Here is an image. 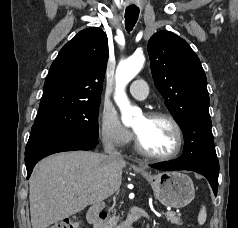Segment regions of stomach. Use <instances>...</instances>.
Here are the masks:
<instances>
[{"mask_svg":"<svg viewBox=\"0 0 238 228\" xmlns=\"http://www.w3.org/2000/svg\"><path fill=\"white\" fill-rule=\"evenodd\" d=\"M140 172L164 206L182 208L194 199L195 189L189 176L181 172L166 171L155 174Z\"/></svg>","mask_w":238,"mask_h":228,"instance_id":"obj_1","label":"stomach"}]
</instances>
